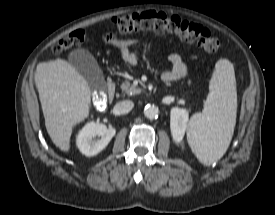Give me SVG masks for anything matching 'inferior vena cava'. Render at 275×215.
<instances>
[{
    "label": "inferior vena cava",
    "mask_w": 275,
    "mask_h": 215,
    "mask_svg": "<svg viewBox=\"0 0 275 215\" xmlns=\"http://www.w3.org/2000/svg\"><path fill=\"white\" fill-rule=\"evenodd\" d=\"M134 107V103L130 100H124L115 105V110L119 114L130 112Z\"/></svg>",
    "instance_id": "1"
}]
</instances>
